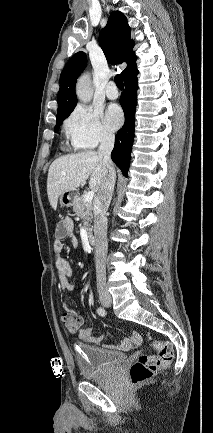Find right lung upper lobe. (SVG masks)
Listing matches in <instances>:
<instances>
[{
    "label": "right lung upper lobe",
    "mask_w": 213,
    "mask_h": 433,
    "mask_svg": "<svg viewBox=\"0 0 213 433\" xmlns=\"http://www.w3.org/2000/svg\"><path fill=\"white\" fill-rule=\"evenodd\" d=\"M131 30L123 13L113 11L110 14L107 25L99 34V45L106 59L110 63H127L123 71V78L136 68V55L132 51L134 41L130 39ZM87 56L79 51L74 54L60 76V89L57 95L58 109L57 120L62 119L73 111L77 104L75 85L77 78L85 69Z\"/></svg>",
    "instance_id": "1"
}]
</instances>
